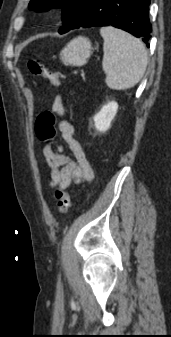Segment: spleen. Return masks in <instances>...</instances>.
Listing matches in <instances>:
<instances>
[{"label":"spleen","instance_id":"obj_1","mask_svg":"<svg viewBox=\"0 0 171 337\" xmlns=\"http://www.w3.org/2000/svg\"><path fill=\"white\" fill-rule=\"evenodd\" d=\"M100 34L104 40L102 68L107 86L113 90L134 87L147 68L145 45L140 39L112 26L102 27Z\"/></svg>","mask_w":171,"mask_h":337}]
</instances>
